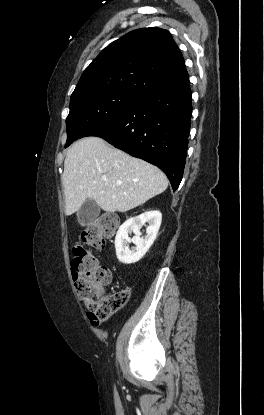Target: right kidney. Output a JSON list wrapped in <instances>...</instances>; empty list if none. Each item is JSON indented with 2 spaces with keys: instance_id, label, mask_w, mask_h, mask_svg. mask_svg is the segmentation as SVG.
Masks as SVG:
<instances>
[{
  "instance_id": "1",
  "label": "right kidney",
  "mask_w": 264,
  "mask_h": 415,
  "mask_svg": "<svg viewBox=\"0 0 264 415\" xmlns=\"http://www.w3.org/2000/svg\"><path fill=\"white\" fill-rule=\"evenodd\" d=\"M162 221V214L157 210H151L139 216L127 219L118 229L115 237V249L118 260L124 264H132L139 261L149 250L156 239ZM148 222L146 235L141 237L140 229ZM135 236L131 239L129 233ZM136 246L129 248V243Z\"/></svg>"
}]
</instances>
